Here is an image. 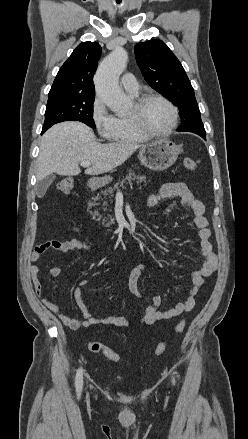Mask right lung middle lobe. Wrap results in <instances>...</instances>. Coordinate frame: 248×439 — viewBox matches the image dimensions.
<instances>
[{
  "instance_id": "right-lung-middle-lobe-1",
  "label": "right lung middle lobe",
  "mask_w": 248,
  "mask_h": 439,
  "mask_svg": "<svg viewBox=\"0 0 248 439\" xmlns=\"http://www.w3.org/2000/svg\"><path fill=\"white\" fill-rule=\"evenodd\" d=\"M94 94H61L49 96L43 129L63 121H81L96 128L93 121Z\"/></svg>"
}]
</instances>
